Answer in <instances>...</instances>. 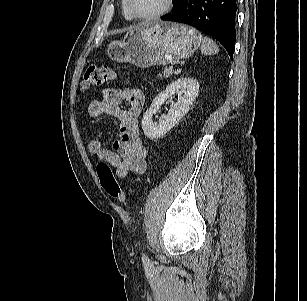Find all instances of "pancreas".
I'll return each mask as SVG.
<instances>
[{"label": "pancreas", "mask_w": 307, "mask_h": 301, "mask_svg": "<svg viewBox=\"0 0 307 301\" xmlns=\"http://www.w3.org/2000/svg\"><path fill=\"white\" fill-rule=\"evenodd\" d=\"M172 74H173V71H172L171 68H169V69L165 68V69L162 71V73H159L158 77H159L160 79H162V78H168V77H170Z\"/></svg>", "instance_id": "obj_1"}]
</instances>
